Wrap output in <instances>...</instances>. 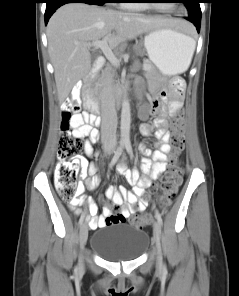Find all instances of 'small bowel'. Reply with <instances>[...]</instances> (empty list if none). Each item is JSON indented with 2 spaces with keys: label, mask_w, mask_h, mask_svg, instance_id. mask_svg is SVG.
<instances>
[{
  "label": "small bowel",
  "mask_w": 239,
  "mask_h": 296,
  "mask_svg": "<svg viewBox=\"0 0 239 296\" xmlns=\"http://www.w3.org/2000/svg\"><path fill=\"white\" fill-rule=\"evenodd\" d=\"M140 82H138V85ZM184 90V81L180 78H175L173 80V93L167 102V91L163 90L159 92L156 98L153 100L150 113L151 114H161L159 117L155 118L152 123L143 124L141 126V132L146 135H154L158 140V149L151 151L147 148H143L145 156L142 158L141 170L143 177L137 170H129L125 166H120L117 169L119 175H122L127 182L131 185L132 189L128 190L124 187L116 188L111 186L106 191V196L112 200L113 205L116 207H121L124 202H128L130 207H123L121 209V215L126 220L136 211H144L147 202L143 199H138L144 194L145 188L151 185V179L158 177L167 168L168 154L171 150L169 145L170 133H169V122L166 118L167 112L169 114H175L182 106V93ZM145 117L146 114L142 113ZM95 117L90 115L88 112L79 113L75 118V122L78 124L75 133L86 138L84 144V151L86 155L91 156L93 154L92 144L99 139V131L94 128ZM82 166L87 169L90 178L85 181L87 188H93L99 183V177L95 176L97 171V165L94 163L88 164L84 159L81 161ZM133 205H136L134 208ZM98 207L95 204H91L90 213L93 216L90 219L89 224L91 228H101L106 225L107 217L111 214V209L109 207H104L102 214L97 217Z\"/></svg>",
  "instance_id": "c3829d8e"
}]
</instances>
